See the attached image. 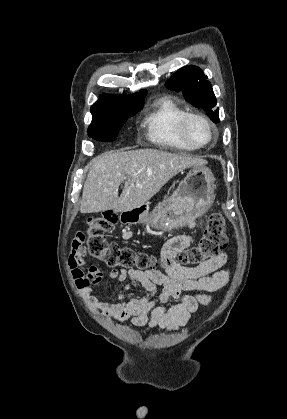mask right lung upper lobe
I'll return each instance as SVG.
<instances>
[{"instance_id":"obj_1","label":"right lung upper lobe","mask_w":287,"mask_h":419,"mask_svg":"<svg viewBox=\"0 0 287 419\" xmlns=\"http://www.w3.org/2000/svg\"><path fill=\"white\" fill-rule=\"evenodd\" d=\"M146 93V90H141L139 93L128 96L102 95L99 100L91 106L90 112L92 114H97L105 111L143 106Z\"/></svg>"}]
</instances>
